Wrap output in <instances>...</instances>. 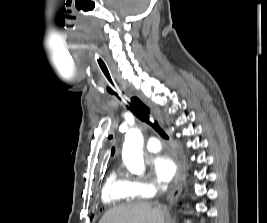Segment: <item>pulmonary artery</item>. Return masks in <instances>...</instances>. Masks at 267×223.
<instances>
[{
	"label": "pulmonary artery",
	"instance_id": "1",
	"mask_svg": "<svg viewBox=\"0 0 267 223\" xmlns=\"http://www.w3.org/2000/svg\"><path fill=\"white\" fill-rule=\"evenodd\" d=\"M146 149L150 152H157L161 149V142L157 138H150L146 143Z\"/></svg>",
	"mask_w": 267,
	"mask_h": 223
}]
</instances>
